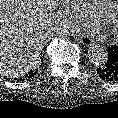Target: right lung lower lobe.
I'll return each mask as SVG.
<instances>
[{
    "label": "right lung lower lobe",
    "instance_id": "obj_1",
    "mask_svg": "<svg viewBox=\"0 0 118 118\" xmlns=\"http://www.w3.org/2000/svg\"><path fill=\"white\" fill-rule=\"evenodd\" d=\"M41 61L43 62V60H41ZM36 73H37V71L34 72V71L31 70V72L29 73V75H26V77H27V78H31V77H33ZM20 80H24V79L20 78Z\"/></svg>",
    "mask_w": 118,
    "mask_h": 118
}]
</instances>
